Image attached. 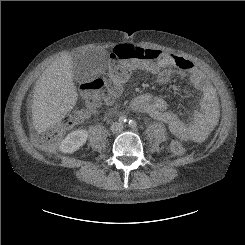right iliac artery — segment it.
<instances>
[{"label":"right iliac artery","mask_w":245,"mask_h":245,"mask_svg":"<svg viewBox=\"0 0 245 245\" xmlns=\"http://www.w3.org/2000/svg\"><path fill=\"white\" fill-rule=\"evenodd\" d=\"M119 122L122 123V124H124V123L127 122V118L125 116H120L119 117Z\"/></svg>","instance_id":"obj_1"}]
</instances>
